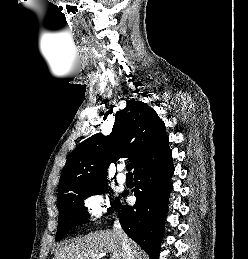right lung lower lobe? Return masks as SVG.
I'll return each mask as SVG.
<instances>
[{"instance_id":"right-lung-lower-lobe-1","label":"right lung lower lobe","mask_w":248,"mask_h":259,"mask_svg":"<svg viewBox=\"0 0 248 259\" xmlns=\"http://www.w3.org/2000/svg\"><path fill=\"white\" fill-rule=\"evenodd\" d=\"M173 173L171 151L142 164L134 171V195L137 198L135 205L119 203L116 209L119 211L123 230L148 253L150 259H158ZM126 195L127 193L123 194Z\"/></svg>"}]
</instances>
